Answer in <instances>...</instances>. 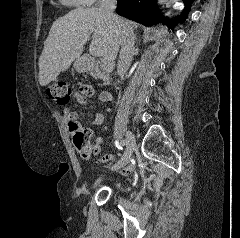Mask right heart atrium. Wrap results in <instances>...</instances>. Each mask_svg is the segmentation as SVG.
<instances>
[{
  "label": "right heart atrium",
  "mask_w": 240,
  "mask_h": 238,
  "mask_svg": "<svg viewBox=\"0 0 240 238\" xmlns=\"http://www.w3.org/2000/svg\"><path fill=\"white\" fill-rule=\"evenodd\" d=\"M98 1H104V0H87V2L89 4H94V3L98 2Z\"/></svg>",
  "instance_id": "1"
}]
</instances>
